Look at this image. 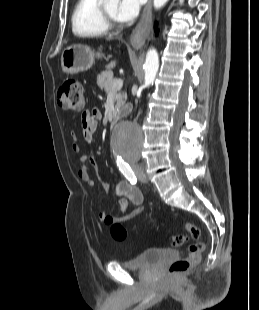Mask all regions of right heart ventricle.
Wrapping results in <instances>:
<instances>
[{
    "instance_id": "e07e8e85",
    "label": "right heart ventricle",
    "mask_w": 259,
    "mask_h": 310,
    "mask_svg": "<svg viewBox=\"0 0 259 310\" xmlns=\"http://www.w3.org/2000/svg\"><path fill=\"white\" fill-rule=\"evenodd\" d=\"M100 0H77L72 14L73 32L81 37H97L107 33L98 7Z\"/></svg>"
}]
</instances>
